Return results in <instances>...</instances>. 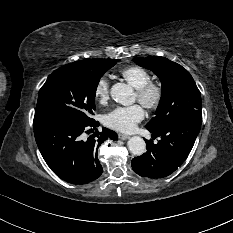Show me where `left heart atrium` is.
<instances>
[{"label":"left heart atrium","mask_w":233,"mask_h":233,"mask_svg":"<svg viewBox=\"0 0 233 233\" xmlns=\"http://www.w3.org/2000/svg\"><path fill=\"white\" fill-rule=\"evenodd\" d=\"M144 118V111L139 105L117 107L104 117L105 124L121 132H130Z\"/></svg>","instance_id":"39dd6f15"}]
</instances>
